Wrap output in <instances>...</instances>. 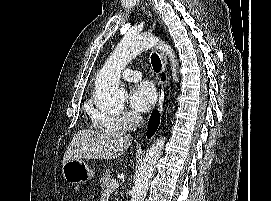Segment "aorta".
<instances>
[{"label":"aorta","instance_id":"762f6f07","mask_svg":"<svg viewBox=\"0 0 271 201\" xmlns=\"http://www.w3.org/2000/svg\"><path fill=\"white\" fill-rule=\"evenodd\" d=\"M153 47H158L166 52L171 62L173 81H178V62L170 46L159 41L157 37L149 33L140 35L128 33L116 46L96 81L95 102L99 107H120L123 105L127 93L119 87L121 71L142 51ZM165 140V137L157 139L148 149L136 176L131 201H144L150 180L155 171L157 160L161 156Z\"/></svg>","mask_w":271,"mask_h":201}]
</instances>
